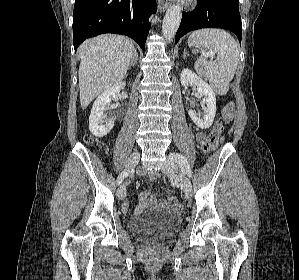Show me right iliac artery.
<instances>
[{"label": "right iliac artery", "instance_id": "obj_1", "mask_svg": "<svg viewBox=\"0 0 299 280\" xmlns=\"http://www.w3.org/2000/svg\"><path fill=\"white\" fill-rule=\"evenodd\" d=\"M130 173V170H124L123 172H121L119 174V176L117 177V184L120 185L122 183V181L124 180L125 177H127Z\"/></svg>", "mask_w": 299, "mask_h": 280}]
</instances>
